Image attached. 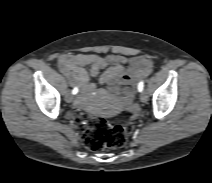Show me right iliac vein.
Here are the masks:
<instances>
[{"label": "right iliac vein", "instance_id": "right-iliac-vein-1", "mask_svg": "<svg viewBox=\"0 0 212 183\" xmlns=\"http://www.w3.org/2000/svg\"><path fill=\"white\" fill-rule=\"evenodd\" d=\"M65 100L66 102L71 103L73 101V95L70 92H67Z\"/></svg>", "mask_w": 212, "mask_h": 183}]
</instances>
